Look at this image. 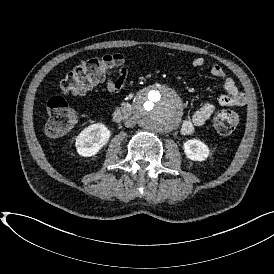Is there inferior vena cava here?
I'll list each match as a JSON object with an SVG mask.
<instances>
[{"instance_id":"602c4592","label":"inferior vena cava","mask_w":274,"mask_h":274,"mask_svg":"<svg viewBox=\"0 0 274 274\" xmlns=\"http://www.w3.org/2000/svg\"><path fill=\"white\" fill-rule=\"evenodd\" d=\"M124 124H125L126 127L131 128V127H135L136 121H135V119L133 117L132 118H127L125 120Z\"/></svg>"}]
</instances>
